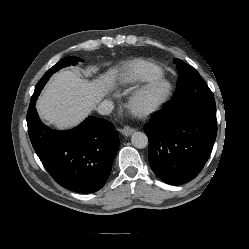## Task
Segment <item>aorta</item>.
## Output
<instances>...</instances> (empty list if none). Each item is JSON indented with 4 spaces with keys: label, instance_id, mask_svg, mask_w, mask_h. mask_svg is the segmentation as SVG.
I'll use <instances>...</instances> for the list:
<instances>
[{
    "label": "aorta",
    "instance_id": "762f6f07",
    "mask_svg": "<svg viewBox=\"0 0 249 249\" xmlns=\"http://www.w3.org/2000/svg\"><path fill=\"white\" fill-rule=\"evenodd\" d=\"M131 143L135 148L143 149L148 145V137L143 132H134L131 136Z\"/></svg>",
    "mask_w": 249,
    "mask_h": 249
}]
</instances>
